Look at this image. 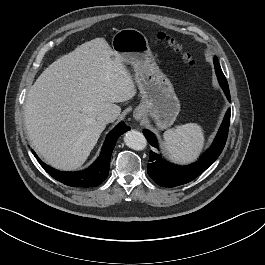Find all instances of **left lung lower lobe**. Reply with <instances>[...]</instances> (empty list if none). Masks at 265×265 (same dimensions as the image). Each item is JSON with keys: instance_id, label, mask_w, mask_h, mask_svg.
Returning a JSON list of instances; mask_svg holds the SVG:
<instances>
[{"instance_id": "0a47b994", "label": "left lung lower lobe", "mask_w": 265, "mask_h": 265, "mask_svg": "<svg viewBox=\"0 0 265 265\" xmlns=\"http://www.w3.org/2000/svg\"><path fill=\"white\" fill-rule=\"evenodd\" d=\"M214 66L218 81L223 88L225 95L230 101L229 87L226 86L222 74L220 72V65L214 58ZM230 109L227 111L224 120L220 126V129L216 135V138L212 146L203 155V157L196 163L190 166H178L164 160L161 155L150 151L149 164L147 165L148 175L162 187H174L182 184H186L202 172H204L221 154L227 140L229 124H230ZM144 135L148 142L156 147L157 140L153 133L149 130H144Z\"/></svg>"}]
</instances>
